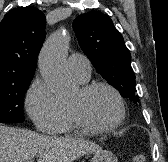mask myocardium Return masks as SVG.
<instances>
[{
	"mask_svg": "<svg viewBox=\"0 0 168 162\" xmlns=\"http://www.w3.org/2000/svg\"><path fill=\"white\" fill-rule=\"evenodd\" d=\"M106 89L108 90L115 98L118 105V116L117 118L110 124L107 125H95L87 120L80 109L76 106L70 105V110L72 115L76 121V123L87 132H108L117 129L124 121L126 117V108L122 95L120 92L112 85L106 82H92L82 86L80 89L83 95H87L96 89Z\"/></svg>",
	"mask_w": 168,
	"mask_h": 162,
	"instance_id": "1",
	"label": "myocardium"
}]
</instances>
